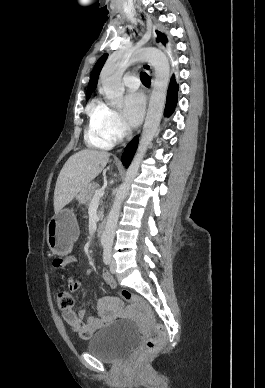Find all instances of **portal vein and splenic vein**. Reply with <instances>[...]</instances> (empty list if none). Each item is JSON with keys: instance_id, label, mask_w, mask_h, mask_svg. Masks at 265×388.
<instances>
[{"instance_id": "obj_1", "label": "portal vein and splenic vein", "mask_w": 265, "mask_h": 388, "mask_svg": "<svg viewBox=\"0 0 265 388\" xmlns=\"http://www.w3.org/2000/svg\"><path fill=\"white\" fill-rule=\"evenodd\" d=\"M102 196H104V188H99V190H95L93 200H95V198H102Z\"/></svg>"}]
</instances>
